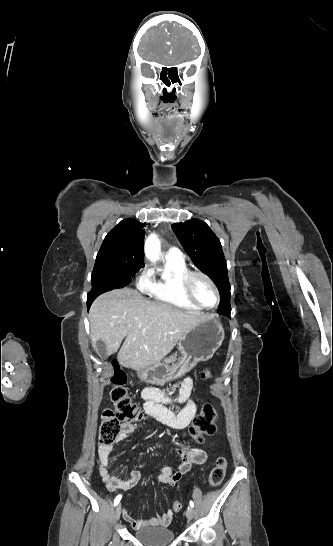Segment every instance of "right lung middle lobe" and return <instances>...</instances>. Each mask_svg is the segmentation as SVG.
I'll list each match as a JSON object with an SVG mask.
<instances>
[{"label": "right lung middle lobe", "mask_w": 333, "mask_h": 546, "mask_svg": "<svg viewBox=\"0 0 333 546\" xmlns=\"http://www.w3.org/2000/svg\"><path fill=\"white\" fill-rule=\"evenodd\" d=\"M139 269L132 268L124 257L112 254L97 255L91 275L92 289L88 297L94 300L106 291L128 285Z\"/></svg>", "instance_id": "dd1d6c3e"}]
</instances>
